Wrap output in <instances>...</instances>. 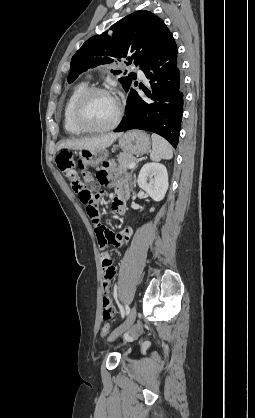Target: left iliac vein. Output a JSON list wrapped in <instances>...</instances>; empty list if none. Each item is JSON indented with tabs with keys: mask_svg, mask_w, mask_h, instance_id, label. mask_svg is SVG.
I'll return each instance as SVG.
<instances>
[{
	"mask_svg": "<svg viewBox=\"0 0 255 418\" xmlns=\"http://www.w3.org/2000/svg\"><path fill=\"white\" fill-rule=\"evenodd\" d=\"M137 315L136 307L133 306L129 312L127 319L119 327H117L109 336L108 340L112 341L125 331H127L134 323Z\"/></svg>",
	"mask_w": 255,
	"mask_h": 418,
	"instance_id": "left-iliac-vein-1",
	"label": "left iliac vein"
}]
</instances>
